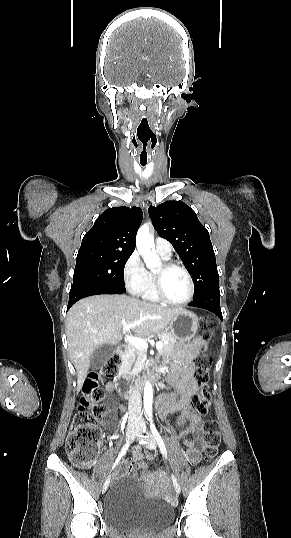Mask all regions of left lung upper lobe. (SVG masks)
Masks as SVG:
<instances>
[{
	"instance_id": "1",
	"label": "left lung upper lobe",
	"mask_w": 291,
	"mask_h": 538,
	"mask_svg": "<svg viewBox=\"0 0 291 538\" xmlns=\"http://www.w3.org/2000/svg\"><path fill=\"white\" fill-rule=\"evenodd\" d=\"M149 215L160 237L167 239L194 279L196 300L219 288L215 253L208 230L196 213L182 201H166L149 207Z\"/></svg>"
}]
</instances>
